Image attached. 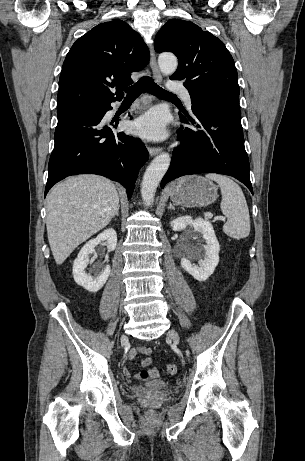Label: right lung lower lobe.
I'll use <instances>...</instances> for the list:
<instances>
[{"mask_svg": "<svg viewBox=\"0 0 305 461\" xmlns=\"http://www.w3.org/2000/svg\"><path fill=\"white\" fill-rule=\"evenodd\" d=\"M111 102L58 109L45 196L65 177L88 173L120 182L127 189L128 198L131 197L148 151L140 139L113 132L118 122L104 123L105 113L112 109Z\"/></svg>", "mask_w": 305, "mask_h": 461, "instance_id": "1", "label": "right lung lower lobe"}]
</instances>
